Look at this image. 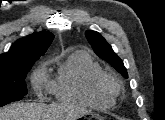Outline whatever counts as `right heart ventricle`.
<instances>
[{"instance_id": "obj_1", "label": "right heart ventricle", "mask_w": 165, "mask_h": 120, "mask_svg": "<svg viewBox=\"0 0 165 120\" xmlns=\"http://www.w3.org/2000/svg\"><path fill=\"white\" fill-rule=\"evenodd\" d=\"M57 64V75L51 83V91L57 100L100 109L114 105L116 93L96 85L104 71L89 53L71 51Z\"/></svg>"}]
</instances>
